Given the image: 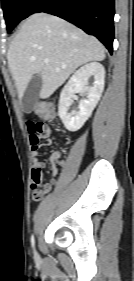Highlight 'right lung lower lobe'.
<instances>
[{"instance_id": "obj_1", "label": "right lung lower lobe", "mask_w": 134, "mask_h": 281, "mask_svg": "<svg viewBox=\"0 0 134 281\" xmlns=\"http://www.w3.org/2000/svg\"><path fill=\"white\" fill-rule=\"evenodd\" d=\"M45 12L63 18L96 36L113 52L114 0H35L27 15Z\"/></svg>"}]
</instances>
